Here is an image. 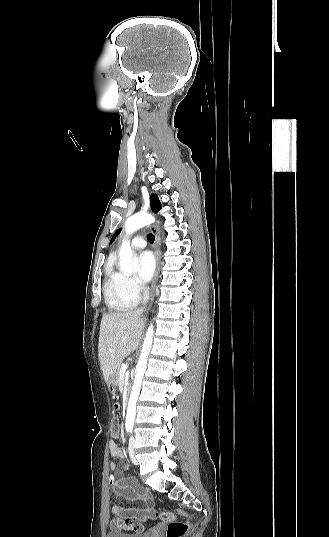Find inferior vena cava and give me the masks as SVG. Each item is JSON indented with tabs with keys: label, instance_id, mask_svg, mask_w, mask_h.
Wrapping results in <instances>:
<instances>
[{
	"label": "inferior vena cava",
	"instance_id": "obj_1",
	"mask_svg": "<svg viewBox=\"0 0 329 537\" xmlns=\"http://www.w3.org/2000/svg\"><path fill=\"white\" fill-rule=\"evenodd\" d=\"M148 299H149V288L148 287H145L144 288V292H143V301H142V307L140 309H138L137 312H142L145 305L147 304L148 302Z\"/></svg>",
	"mask_w": 329,
	"mask_h": 537
}]
</instances>
